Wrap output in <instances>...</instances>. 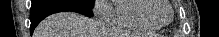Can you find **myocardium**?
I'll return each instance as SVG.
<instances>
[{"instance_id":"myocardium-1","label":"myocardium","mask_w":219,"mask_h":37,"mask_svg":"<svg viewBox=\"0 0 219 37\" xmlns=\"http://www.w3.org/2000/svg\"><path fill=\"white\" fill-rule=\"evenodd\" d=\"M144 2L147 4L144 8H143V11H142V15L143 17L150 23L152 24L153 26H156V27H159V28H162V27H165L167 25H169L172 20H173V17H174V9L171 5V3L169 1H158V0H144ZM161 2H166L170 11H171V17L168 21L166 22H159V21H156L153 17H152V14L154 13V11L160 6V3Z\"/></svg>"}]
</instances>
